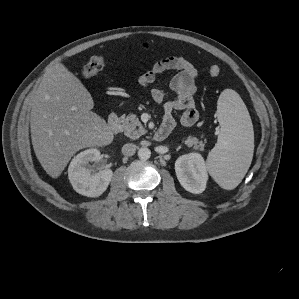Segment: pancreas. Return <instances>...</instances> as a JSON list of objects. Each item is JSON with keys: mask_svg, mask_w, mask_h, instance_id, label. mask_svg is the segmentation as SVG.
Masks as SVG:
<instances>
[{"mask_svg": "<svg viewBox=\"0 0 299 299\" xmlns=\"http://www.w3.org/2000/svg\"><path fill=\"white\" fill-rule=\"evenodd\" d=\"M120 120L123 123L124 134L130 139H137L146 133V130L143 128L136 115H123ZM183 142L188 147H193L195 150L202 151L205 147V142H203L202 140L199 141L196 137L193 136L187 137L185 140H183Z\"/></svg>", "mask_w": 299, "mask_h": 299, "instance_id": "1", "label": "pancreas"}]
</instances>
